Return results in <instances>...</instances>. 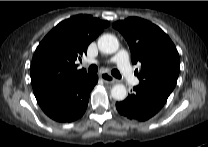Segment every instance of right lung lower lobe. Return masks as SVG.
Here are the masks:
<instances>
[{
	"label": "right lung lower lobe",
	"mask_w": 208,
	"mask_h": 147,
	"mask_svg": "<svg viewBox=\"0 0 208 147\" xmlns=\"http://www.w3.org/2000/svg\"><path fill=\"white\" fill-rule=\"evenodd\" d=\"M97 81V75H86L62 91L38 98V104L53 120L72 122L84 114L90 92Z\"/></svg>",
	"instance_id": "1"
}]
</instances>
